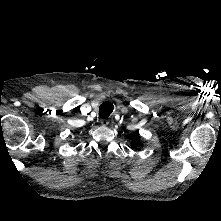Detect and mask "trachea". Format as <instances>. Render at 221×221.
<instances>
[{"label":"trachea","instance_id":"trachea-1","mask_svg":"<svg viewBox=\"0 0 221 221\" xmlns=\"http://www.w3.org/2000/svg\"><path fill=\"white\" fill-rule=\"evenodd\" d=\"M113 111V104L111 102H103L99 107V115L101 118H107Z\"/></svg>","mask_w":221,"mask_h":221}]
</instances>
